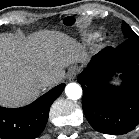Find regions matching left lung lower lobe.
<instances>
[{
  "label": "left lung lower lobe",
  "instance_id": "obj_1",
  "mask_svg": "<svg viewBox=\"0 0 139 139\" xmlns=\"http://www.w3.org/2000/svg\"><path fill=\"white\" fill-rule=\"evenodd\" d=\"M120 73L121 86L109 83ZM82 107L91 126L106 134H125L139 123V37L106 47L78 76Z\"/></svg>",
  "mask_w": 139,
  "mask_h": 139
}]
</instances>
